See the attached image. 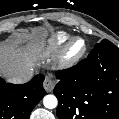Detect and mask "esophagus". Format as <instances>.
Wrapping results in <instances>:
<instances>
[{
	"mask_svg": "<svg viewBox=\"0 0 119 119\" xmlns=\"http://www.w3.org/2000/svg\"><path fill=\"white\" fill-rule=\"evenodd\" d=\"M43 86L47 92L53 91V89L55 87V81L53 80V78L50 75L45 77V80L43 82Z\"/></svg>",
	"mask_w": 119,
	"mask_h": 119,
	"instance_id": "34e87169",
	"label": "esophagus"
}]
</instances>
